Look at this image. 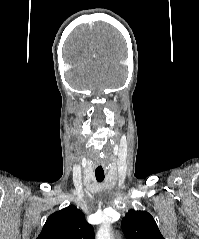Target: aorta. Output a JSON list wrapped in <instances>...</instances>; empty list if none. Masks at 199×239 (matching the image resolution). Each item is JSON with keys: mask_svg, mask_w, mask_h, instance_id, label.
<instances>
[{"mask_svg": "<svg viewBox=\"0 0 199 239\" xmlns=\"http://www.w3.org/2000/svg\"><path fill=\"white\" fill-rule=\"evenodd\" d=\"M110 223H103L97 231L96 239H112Z\"/></svg>", "mask_w": 199, "mask_h": 239, "instance_id": "obj_1", "label": "aorta"}]
</instances>
